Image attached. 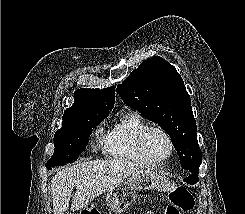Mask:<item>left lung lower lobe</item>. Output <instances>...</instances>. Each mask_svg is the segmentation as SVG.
<instances>
[{
    "instance_id": "1",
    "label": "left lung lower lobe",
    "mask_w": 245,
    "mask_h": 214,
    "mask_svg": "<svg viewBox=\"0 0 245 214\" xmlns=\"http://www.w3.org/2000/svg\"><path fill=\"white\" fill-rule=\"evenodd\" d=\"M186 183L195 184L199 181L198 172H189V175L184 179Z\"/></svg>"
}]
</instances>
